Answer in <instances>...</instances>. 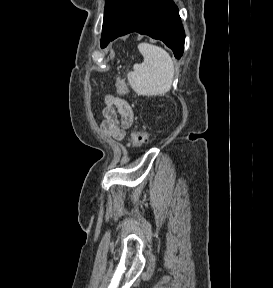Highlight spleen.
<instances>
[{
	"instance_id": "1",
	"label": "spleen",
	"mask_w": 273,
	"mask_h": 288,
	"mask_svg": "<svg viewBox=\"0 0 273 288\" xmlns=\"http://www.w3.org/2000/svg\"><path fill=\"white\" fill-rule=\"evenodd\" d=\"M139 52L144 61L134 64L127 74L131 88L138 95H164L171 89L174 77V63L163 48L149 43H140Z\"/></svg>"
}]
</instances>
